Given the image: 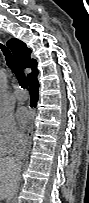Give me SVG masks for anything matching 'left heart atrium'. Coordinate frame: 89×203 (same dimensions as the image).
<instances>
[{
	"label": "left heart atrium",
	"instance_id": "obj_1",
	"mask_svg": "<svg viewBox=\"0 0 89 203\" xmlns=\"http://www.w3.org/2000/svg\"><path fill=\"white\" fill-rule=\"evenodd\" d=\"M17 118L22 128H26L32 118V113L27 108L21 107L17 111Z\"/></svg>",
	"mask_w": 89,
	"mask_h": 203
}]
</instances>
